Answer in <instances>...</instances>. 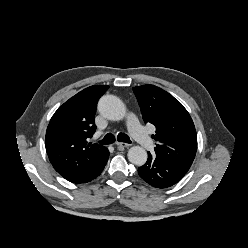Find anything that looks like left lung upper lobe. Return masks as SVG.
<instances>
[{
	"label": "left lung upper lobe",
	"mask_w": 248,
	"mask_h": 248,
	"mask_svg": "<svg viewBox=\"0 0 248 248\" xmlns=\"http://www.w3.org/2000/svg\"><path fill=\"white\" fill-rule=\"evenodd\" d=\"M143 120L156 127V156L191 166L197 151L194 123L184 106L154 85L134 87Z\"/></svg>",
	"instance_id": "5c2ea615"
}]
</instances>
